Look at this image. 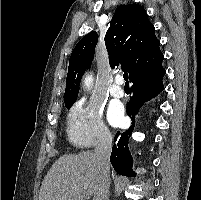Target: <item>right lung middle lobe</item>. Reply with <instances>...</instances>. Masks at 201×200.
Instances as JSON below:
<instances>
[{"instance_id": "obj_1", "label": "right lung middle lobe", "mask_w": 201, "mask_h": 200, "mask_svg": "<svg viewBox=\"0 0 201 200\" xmlns=\"http://www.w3.org/2000/svg\"><path fill=\"white\" fill-rule=\"evenodd\" d=\"M75 101L76 99L65 100L64 102L67 109H70V107L74 104Z\"/></svg>"}]
</instances>
